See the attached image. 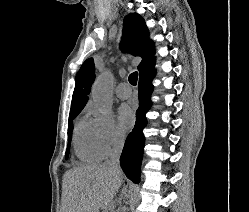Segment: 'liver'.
<instances>
[{
  "label": "liver",
  "mask_w": 249,
  "mask_h": 212,
  "mask_svg": "<svg viewBox=\"0 0 249 212\" xmlns=\"http://www.w3.org/2000/svg\"><path fill=\"white\" fill-rule=\"evenodd\" d=\"M123 172L109 164L80 166L66 172V212H107L122 184Z\"/></svg>",
  "instance_id": "6515ba94"
}]
</instances>
